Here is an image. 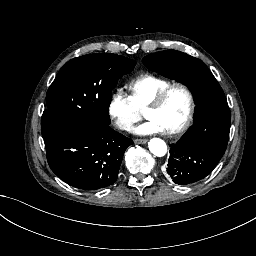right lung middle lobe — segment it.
<instances>
[{"mask_svg":"<svg viewBox=\"0 0 256 256\" xmlns=\"http://www.w3.org/2000/svg\"><path fill=\"white\" fill-rule=\"evenodd\" d=\"M136 62L110 54H89L67 62L46 95L43 137L58 131L80 133L89 127L109 126V105L117 80Z\"/></svg>","mask_w":256,"mask_h":256,"instance_id":"dd1d6c3e","label":"right lung middle lobe"}]
</instances>
